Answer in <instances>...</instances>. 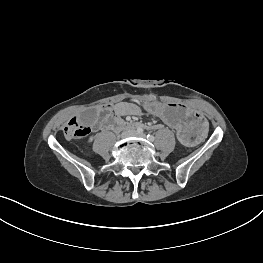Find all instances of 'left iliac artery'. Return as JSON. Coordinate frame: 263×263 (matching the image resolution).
Here are the masks:
<instances>
[{
	"instance_id": "1",
	"label": "left iliac artery",
	"mask_w": 263,
	"mask_h": 263,
	"mask_svg": "<svg viewBox=\"0 0 263 263\" xmlns=\"http://www.w3.org/2000/svg\"><path fill=\"white\" fill-rule=\"evenodd\" d=\"M147 139H148L149 141L153 142L155 138H154L153 135L148 134V135H147Z\"/></svg>"
}]
</instances>
